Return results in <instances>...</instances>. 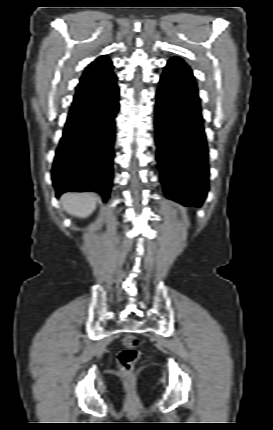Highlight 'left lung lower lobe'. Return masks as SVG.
<instances>
[{
	"label": "left lung lower lobe",
	"mask_w": 273,
	"mask_h": 430,
	"mask_svg": "<svg viewBox=\"0 0 273 430\" xmlns=\"http://www.w3.org/2000/svg\"><path fill=\"white\" fill-rule=\"evenodd\" d=\"M186 72L163 73L156 93V145L168 199L201 207L208 192V146L198 92L183 88Z\"/></svg>",
	"instance_id": "1"
}]
</instances>
